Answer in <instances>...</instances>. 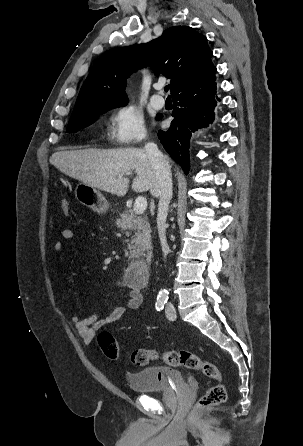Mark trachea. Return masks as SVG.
<instances>
[{
    "label": "trachea",
    "mask_w": 303,
    "mask_h": 446,
    "mask_svg": "<svg viewBox=\"0 0 303 446\" xmlns=\"http://www.w3.org/2000/svg\"><path fill=\"white\" fill-rule=\"evenodd\" d=\"M168 90H169V86H165V87H164V91H165V92H168Z\"/></svg>",
    "instance_id": "3493384b"
}]
</instances>
